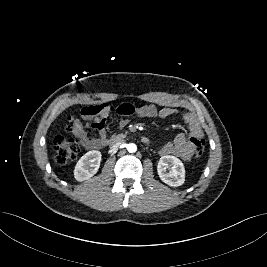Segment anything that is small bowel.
Wrapping results in <instances>:
<instances>
[{
	"label": "small bowel",
	"instance_id": "small-bowel-1",
	"mask_svg": "<svg viewBox=\"0 0 267 267\" xmlns=\"http://www.w3.org/2000/svg\"><path fill=\"white\" fill-rule=\"evenodd\" d=\"M111 111H115L119 118L116 126L123 127L127 123L129 116L135 115L142 118L162 119L170 118L176 114V110L170 107L158 109L153 104L134 107L132 104L123 103L112 107L107 103H100L86 106L81 110V119H76L72 126L73 134L78 137L82 145L89 150L100 149L108 142L107 132L104 129V122ZM187 133L178 134L171 142L166 143L160 150L161 155H173L182 160H189L193 154L191 138L203 137L202 128L191 113H185L182 117ZM93 129L97 136L90 138L87 129Z\"/></svg>",
	"mask_w": 267,
	"mask_h": 267
}]
</instances>
